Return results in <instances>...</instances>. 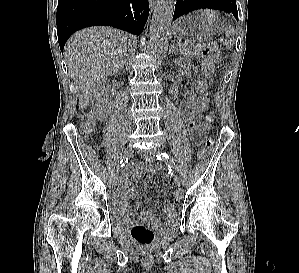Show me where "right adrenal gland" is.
I'll use <instances>...</instances> for the list:
<instances>
[{"mask_svg": "<svg viewBox=\"0 0 299 273\" xmlns=\"http://www.w3.org/2000/svg\"><path fill=\"white\" fill-rule=\"evenodd\" d=\"M126 64H127V60L124 59V60H123V63H122V66H121V68H120V70H122Z\"/></svg>", "mask_w": 299, "mask_h": 273, "instance_id": "obj_1", "label": "right adrenal gland"}]
</instances>
